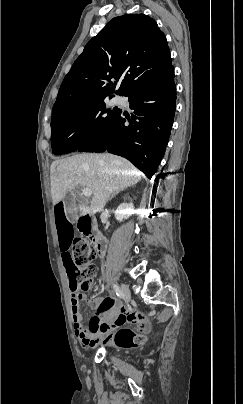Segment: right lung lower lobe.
<instances>
[{
    "instance_id": "right-lung-lower-lobe-1",
    "label": "right lung lower lobe",
    "mask_w": 243,
    "mask_h": 404,
    "mask_svg": "<svg viewBox=\"0 0 243 404\" xmlns=\"http://www.w3.org/2000/svg\"><path fill=\"white\" fill-rule=\"evenodd\" d=\"M131 117L122 110L79 152H104L123 156L151 179L157 171L169 140L176 107L174 67L130 90ZM129 122L125 126V122ZM159 176V175H158ZM157 176V177H158Z\"/></svg>"
}]
</instances>
